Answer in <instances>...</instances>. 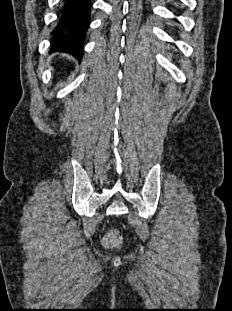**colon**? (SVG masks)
Returning a JSON list of instances; mask_svg holds the SVG:
<instances>
[{
  "label": "colon",
  "mask_w": 232,
  "mask_h": 311,
  "mask_svg": "<svg viewBox=\"0 0 232 311\" xmlns=\"http://www.w3.org/2000/svg\"><path fill=\"white\" fill-rule=\"evenodd\" d=\"M122 243V237L119 231L109 230L103 238V246L108 249L118 248Z\"/></svg>",
  "instance_id": "5ec220e1"
}]
</instances>
